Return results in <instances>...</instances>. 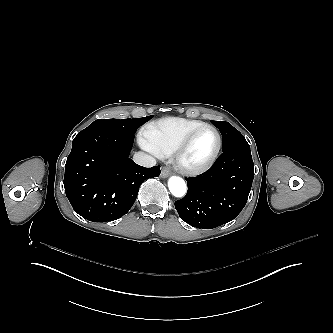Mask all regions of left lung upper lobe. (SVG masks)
I'll list each match as a JSON object with an SVG mask.
<instances>
[{"label":"left lung upper lobe","instance_id":"left-lung-upper-lobe-1","mask_svg":"<svg viewBox=\"0 0 333 333\" xmlns=\"http://www.w3.org/2000/svg\"><path fill=\"white\" fill-rule=\"evenodd\" d=\"M216 126L223 138V151L230 148L231 146L247 142L243 135L235 129L230 123L225 121H211Z\"/></svg>","mask_w":333,"mask_h":333}]
</instances>
